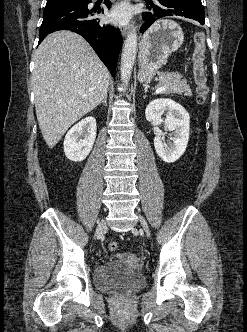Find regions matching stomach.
Wrapping results in <instances>:
<instances>
[{
	"instance_id": "0dacf381",
	"label": "stomach",
	"mask_w": 247,
	"mask_h": 332,
	"mask_svg": "<svg viewBox=\"0 0 247 332\" xmlns=\"http://www.w3.org/2000/svg\"><path fill=\"white\" fill-rule=\"evenodd\" d=\"M184 34L174 21L155 22L143 35L139 51V80L149 81L183 43ZM150 78V79H149Z\"/></svg>"
}]
</instances>
